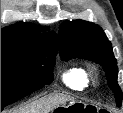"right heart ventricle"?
<instances>
[{
    "instance_id": "right-heart-ventricle-1",
    "label": "right heart ventricle",
    "mask_w": 123,
    "mask_h": 113,
    "mask_svg": "<svg viewBox=\"0 0 123 113\" xmlns=\"http://www.w3.org/2000/svg\"><path fill=\"white\" fill-rule=\"evenodd\" d=\"M63 81L73 89H80L87 86L89 74L86 69L80 66H71L62 74Z\"/></svg>"
}]
</instances>
